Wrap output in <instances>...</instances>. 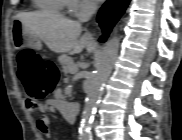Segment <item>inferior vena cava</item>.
<instances>
[{
    "mask_svg": "<svg viewBox=\"0 0 182 140\" xmlns=\"http://www.w3.org/2000/svg\"><path fill=\"white\" fill-rule=\"evenodd\" d=\"M96 9H97V6L95 3L90 1H85L82 4V11L79 15V21L80 22L88 21L92 17V15L95 13Z\"/></svg>",
    "mask_w": 182,
    "mask_h": 140,
    "instance_id": "inferior-vena-cava-1",
    "label": "inferior vena cava"
}]
</instances>
